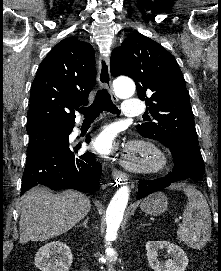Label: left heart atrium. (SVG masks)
Returning <instances> with one entry per match:
<instances>
[{
	"label": "left heart atrium",
	"instance_id": "left-heart-atrium-1",
	"mask_svg": "<svg viewBox=\"0 0 221 271\" xmlns=\"http://www.w3.org/2000/svg\"><path fill=\"white\" fill-rule=\"evenodd\" d=\"M117 131L114 129H105L100 132L93 140V148L101 153L107 154L116 150L119 147V142H116Z\"/></svg>",
	"mask_w": 221,
	"mask_h": 271
}]
</instances>
